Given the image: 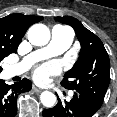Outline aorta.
<instances>
[{
	"instance_id": "762f6f07",
	"label": "aorta",
	"mask_w": 117,
	"mask_h": 117,
	"mask_svg": "<svg viewBox=\"0 0 117 117\" xmlns=\"http://www.w3.org/2000/svg\"><path fill=\"white\" fill-rule=\"evenodd\" d=\"M27 37L31 44L44 46L50 40V31L44 24H34L29 28ZM40 101L45 107L50 108L56 103V96L50 91H44L40 95Z\"/></svg>"
}]
</instances>
